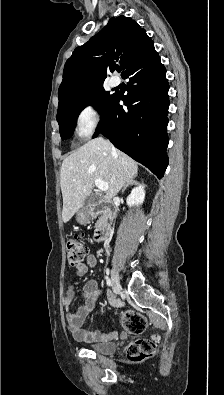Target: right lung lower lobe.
I'll list each match as a JSON object with an SVG mask.
<instances>
[{
    "mask_svg": "<svg viewBox=\"0 0 224 395\" xmlns=\"http://www.w3.org/2000/svg\"><path fill=\"white\" fill-rule=\"evenodd\" d=\"M165 74L155 49L134 62L122 76L129 79L128 94H115L93 136L103 134L159 179L168 165L169 85ZM121 100L127 108L119 105Z\"/></svg>",
    "mask_w": 224,
    "mask_h": 395,
    "instance_id": "1",
    "label": "right lung lower lobe"
}]
</instances>
